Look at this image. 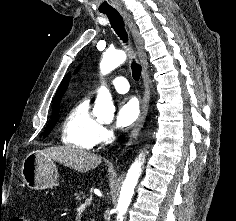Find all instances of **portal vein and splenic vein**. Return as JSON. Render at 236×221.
I'll return each mask as SVG.
<instances>
[{
  "label": "portal vein and splenic vein",
  "instance_id": "1",
  "mask_svg": "<svg viewBox=\"0 0 236 221\" xmlns=\"http://www.w3.org/2000/svg\"><path fill=\"white\" fill-rule=\"evenodd\" d=\"M92 203V198H86L84 203L81 205V207H85V206H88Z\"/></svg>",
  "mask_w": 236,
  "mask_h": 221
}]
</instances>
